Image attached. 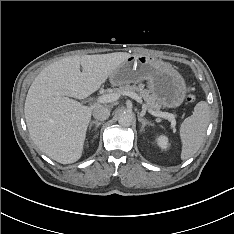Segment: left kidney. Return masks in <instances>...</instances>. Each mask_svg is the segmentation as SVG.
Segmentation results:
<instances>
[{"label": "left kidney", "mask_w": 234, "mask_h": 234, "mask_svg": "<svg viewBox=\"0 0 234 234\" xmlns=\"http://www.w3.org/2000/svg\"><path fill=\"white\" fill-rule=\"evenodd\" d=\"M157 145L161 148V149H167L168 148V138L164 135H160L159 137H157L156 139Z\"/></svg>", "instance_id": "1"}]
</instances>
